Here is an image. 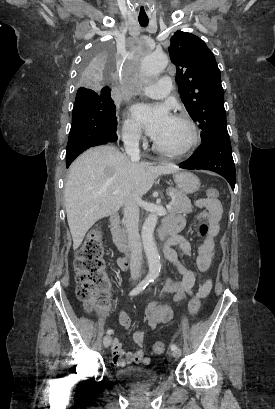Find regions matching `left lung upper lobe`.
<instances>
[{
	"label": "left lung upper lobe",
	"mask_w": 275,
	"mask_h": 409,
	"mask_svg": "<svg viewBox=\"0 0 275 409\" xmlns=\"http://www.w3.org/2000/svg\"><path fill=\"white\" fill-rule=\"evenodd\" d=\"M169 54L177 68L181 100L202 129V143L229 136L221 74L213 53L199 37L177 31L171 37Z\"/></svg>",
	"instance_id": "left-lung-upper-lobe-1"
}]
</instances>
